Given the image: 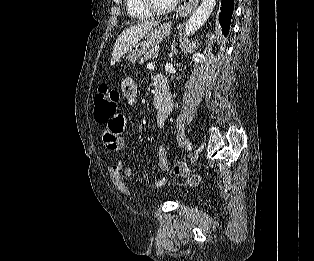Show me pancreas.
I'll list each match as a JSON object with an SVG mask.
<instances>
[{"instance_id": "1", "label": "pancreas", "mask_w": 314, "mask_h": 261, "mask_svg": "<svg viewBox=\"0 0 314 261\" xmlns=\"http://www.w3.org/2000/svg\"><path fill=\"white\" fill-rule=\"evenodd\" d=\"M158 56V49L152 48L151 50L147 51L143 58L140 60V64H144L149 59H154Z\"/></svg>"}]
</instances>
